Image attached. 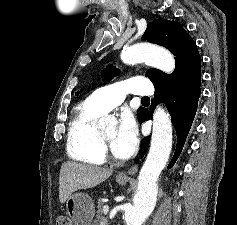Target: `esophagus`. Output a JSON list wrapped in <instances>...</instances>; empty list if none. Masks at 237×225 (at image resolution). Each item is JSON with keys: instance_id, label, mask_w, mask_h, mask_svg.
<instances>
[{"instance_id": "esophagus-1", "label": "esophagus", "mask_w": 237, "mask_h": 225, "mask_svg": "<svg viewBox=\"0 0 237 225\" xmlns=\"http://www.w3.org/2000/svg\"><path fill=\"white\" fill-rule=\"evenodd\" d=\"M137 170H138V164H134L127 171L120 172L118 176L122 178H129L133 176L134 174H136Z\"/></svg>"}]
</instances>
